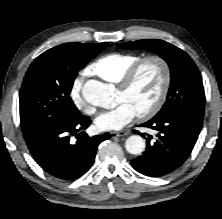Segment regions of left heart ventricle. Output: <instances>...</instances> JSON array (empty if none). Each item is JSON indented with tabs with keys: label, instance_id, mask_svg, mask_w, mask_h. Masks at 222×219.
Returning <instances> with one entry per match:
<instances>
[{
	"label": "left heart ventricle",
	"instance_id": "b2bd125f",
	"mask_svg": "<svg viewBox=\"0 0 222 219\" xmlns=\"http://www.w3.org/2000/svg\"><path fill=\"white\" fill-rule=\"evenodd\" d=\"M162 82L160 67L155 62L146 63L133 85L127 90H118L117 102H128L137 113L148 109L156 100Z\"/></svg>",
	"mask_w": 222,
	"mask_h": 219
}]
</instances>
